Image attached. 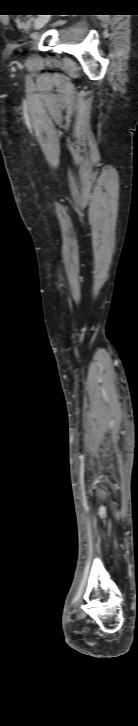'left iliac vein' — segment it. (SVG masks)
Wrapping results in <instances>:
<instances>
[{
  "instance_id": "1",
  "label": "left iliac vein",
  "mask_w": 138,
  "mask_h": 726,
  "mask_svg": "<svg viewBox=\"0 0 138 726\" xmlns=\"http://www.w3.org/2000/svg\"><path fill=\"white\" fill-rule=\"evenodd\" d=\"M48 20H49L48 16H45V15L38 16L34 21V28L36 30L43 28L46 25V23L48 22Z\"/></svg>"
}]
</instances>
